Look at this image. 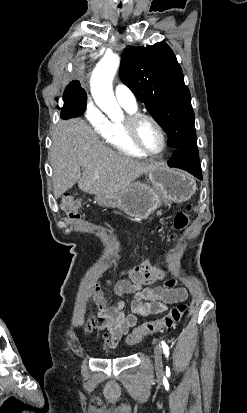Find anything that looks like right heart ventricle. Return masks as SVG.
<instances>
[{"label": "right heart ventricle", "mask_w": 247, "mask_h": 413, "mask_svg": "<svg viewBox=\"0 0 247 413\" xmlns=\"http://www.w3.org/2000/svg\"><path fill=\"white\" fill-rule=\"evenodd\" d=\"M132 110V108L127 107ZM106 143L113 145L115 151H120V154L126 157L142 159L146 155L136 149L132 144L127 130V122H114L107 126V132L104 133Z\"/></svg>", "instance_id": "1"}]
</instances>
